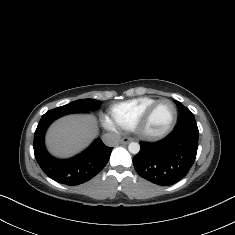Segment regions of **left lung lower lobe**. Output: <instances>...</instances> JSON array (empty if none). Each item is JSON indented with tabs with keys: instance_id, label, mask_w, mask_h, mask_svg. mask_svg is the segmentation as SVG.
I'll use <instances>...</instances> for the list:
<instances>
[{
	"instance_id": "left-lung-lower-lobe-1",
	"label": "left lung lower lobe",
	"mask_w": 235,
	"mask_h": 235,
	"mask_svg": "<svg viewBox=\"0 0 235 235\" xmlns=\"http://www.w3.org/2000/svg\"><path fill=\"white\" fill-rule=\"evenodd\" d=\"M198 130L178 128L156 143L140 142L134 156L136 172L159 185H171L182 179L192 167L198 149Z\"/></svg>"
}]
</instances>
